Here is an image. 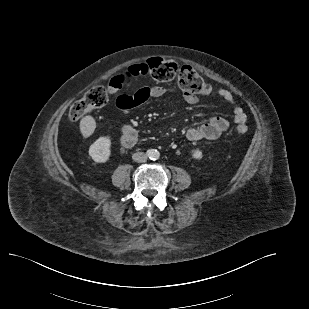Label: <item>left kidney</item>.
I'll return each instance as SVG.
<instances>
[{"label": "left kidney", "instance_id": "1", "mask_svg": "<svg viewBox=\"0 0 309 309\" xmlns=\"http://www.w3.org/2000/svg\"><path fill=\"white\" fill-rule=\"evenodd\" d=\"M191 156H192L194 159L200 160V159H202L203 154H202V152H201L200 150L195 149V150H192V151H191Z\"/></svg>", "mask_w": 309, "mask_h": 309}]
</instances>
